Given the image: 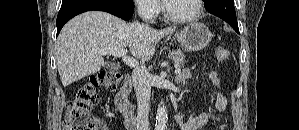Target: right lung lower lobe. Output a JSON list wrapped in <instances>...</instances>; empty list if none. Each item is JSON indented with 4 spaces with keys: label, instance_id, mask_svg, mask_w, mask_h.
<instances>
[{
    "label": "right lung lower lobe",
    "instance_id": "obj_1",
    "mask_svg": "<svg viewBox=\"0 0 299 130\" xmlns=\"http://www.w3.org/2000/svg\"><path fill=\"white\" fill-rule=\"evenodd\" d=\"M92 10L111 13L124 20H129L133 15L132 0H63L57 16V36L63 25L72 17Z\"/></svg>",
    "mask_w": 299,
    "mask_h": 130
}]
</instances>
